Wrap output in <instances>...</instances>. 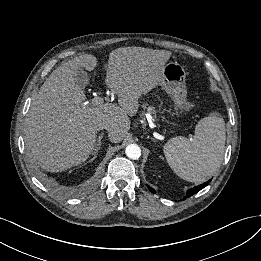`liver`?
I'll list each match as a JSON object with an SVG mask.
<instances>
[{
	"label": "liver",
	"mask_w": 261,
	"mask_h": 261,
	"mask_svg": "<svg viewBox=\"0 0 261 261\" xmlns=\"http://www.w3.org/2000/svg\"><path fill=\"white\" fill-rule=\"evenodd\" d=\"M172 53L143 47H121L109 54L105 83L118 95V104L87 105L76 83L79 69L92 71L97 58L84 54L55 69L32 100L25 120L24 140L30 155L49 172L82 164L93 151L102 125L111 142L122 141L138 98L159 85Z\"/></svg>",
	"instance_id": "6515ba94"
}]
</instances>
